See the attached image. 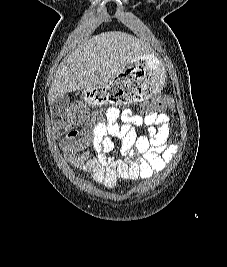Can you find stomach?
<instances>
[{"label": "stomach", "mask_w": 227, "mask_h": 267, "mask_svg": "<svg viewBox=\"0 0 227 267\" xmlns=\"http://www.w3.org/2000/svg\"><path fill=\"white\" fill-rule=\"evenodd\" d=\"M166 72L159 59L148 53L132 59L105 87H90L84 93L85 104L129 106L158 93Z\"/></svg>", "instance_id": "1"}]
</instances>
